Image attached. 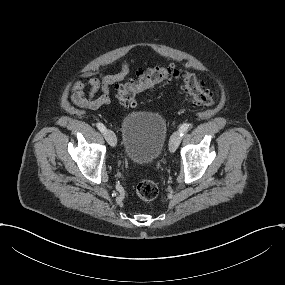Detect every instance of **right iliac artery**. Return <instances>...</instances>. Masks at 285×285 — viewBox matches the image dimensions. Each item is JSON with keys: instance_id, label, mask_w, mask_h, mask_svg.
<instances>
[{"instance_id": "obj_1", "label": "right iliac artery", "mask_w": 285, "mask_h": 285, "mask_svg": "<svg viewBox=\"0 0 285 285\" xmlns=\"http://www.w3.org/2000/svg\"><path fill=\"white\" fill-rule=\"evenodd\" d=\"M96 126H97V128H98L102 133L105 134V132H106V127H105L102 123H97Z\"/></svg>"}]
</instances>
